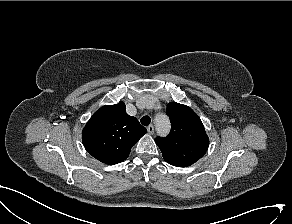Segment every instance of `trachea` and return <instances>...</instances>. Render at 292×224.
Segmentation results:
<instances>
[{
    "label": "trachea",
    "mask_w": 292,
    "mask_h": 224,
    "mask_svg": "<svg viewBox=\"0 0 292 224\" xmlns=\"http://www.w3.org/2000/svg\"><path fill=\"white\" fill-rule=\"evenodd\" d=\"M141 124L144 126H148L151 122V118L149 116H144L141 118Z\"/></svg>",
    "instance_id": "1"
}]
</instances>
